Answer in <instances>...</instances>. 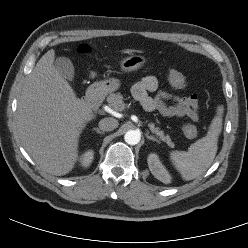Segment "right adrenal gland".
Here are the masks:
<instances>
[{"label":"right adrenal gland","instance_id":"1","mask_svg":"<svg viewBox=\"0 0 248 248\" xmlns=\"http://www.w3.org/2000/svg\"><path fill=\"white\" fill-rule=\"evenodd\" d=\"M93 130H94L95 132H97L98 134H104V132L101 131L99 128H93Z\"/></svg>","mask_w":248,"mask_h":248}]
</instances>
